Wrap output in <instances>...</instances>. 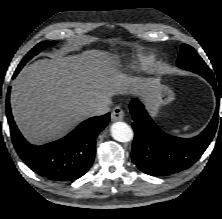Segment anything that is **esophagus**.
Instances as JSON below:
<instances>
[{"label":"esophagus","mask_w":222,"mask_h":219,"mask_svg":"<svg viewBox=\"0 0 222 219\" xmlns=\"http://www.w3.org/2000/svg\"><path fill=\"white\" fill-rule=\"evenodd\" d=\"M125 113L123 109L119 106L113 108L111 113V120L112 121H121L124 119Z\"/></svg>","instance_id":"obj_1"}]
</instances>
